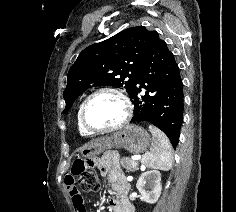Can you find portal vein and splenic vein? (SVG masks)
Here are the masks:
<instances>
[{
  "mask_svg": "<svg viewBox=\"0 0 236 212\" xmlns=\"http://www.w3.org/2000/svg\"><path fill=\"white\" fill-rule=\"evenodd\" d=\"M131 159H132V160H138V159H140V155H133V156L131 157Z\"/></svg>",
  "mask_w": 236,
  "mask_h": 212,
  "instance_id": "portal-vein-and-splenic-vein-1",
  "label": "portal vein and splenic vein"
}]
</instances>
